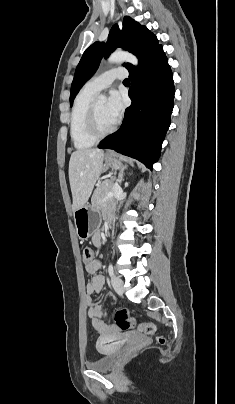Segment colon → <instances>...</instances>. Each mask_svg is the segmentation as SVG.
Segmentation results:
<instances>
[{
	"label": "colon",
	"mask_w": 235,
	"mask_h": 404,
	"mask_svg": "<svg viewBox=\"0 0 235 404\" xmlns=\"http://www.w3.org/2000/svg\"><path fill=\"white\" fill-rule=\"evenodd\" d=\"M82 259L85 264H89L93 261V250L90 247H85L83 249ZM114 320L116 326L121 330L134 326L138 332L148 335L154 334L157 330V326L153 323H134V321L129 318L125 309L118 310L115 313ZM157 340L162 345L165 343V338L162 336H158ZM100 347L102 348V346Z\"/></svg>",
	"instance_id": "5ec220e1"
}]
</instances>
